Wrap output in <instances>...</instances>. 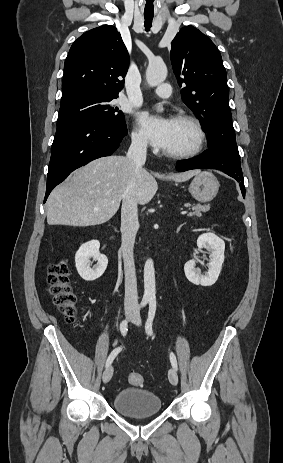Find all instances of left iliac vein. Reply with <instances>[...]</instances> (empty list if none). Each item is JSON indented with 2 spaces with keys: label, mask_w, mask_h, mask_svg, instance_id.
<instances>
[{
  "label": "left iliac vein",
  "mask_w": 283,
  "mask_h": 463,
  "mask_svg": "<svg viewBox=\"0 0 283 463\" xmlns=\"http://www.w3.org/2000/svg\"><path fill=\"white\" fill-rule=\"evenodd\" d=\"M131 322L136 324V325H140L141 324V318H140V315L139 313H135L132 317H131ZM168 378H169V381L172 385L176 386L178 384V374L176 372V370L174 368H171L169 369L168 371Z\"/></svg>",
  "instance_id": "4c4485c4"
}]
</instances>
